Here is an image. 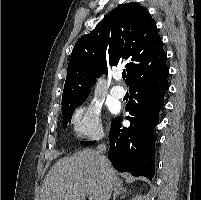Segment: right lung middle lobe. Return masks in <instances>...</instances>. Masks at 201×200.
<instances>
[{"label": "right lung middle lobe", "instance_id": "dd1d6c3e", "mask_svg": "<svg viewBox=\"0 0 201 200\" xmlns=\"http://www.w3.org/2000/svg\"><path fill=\"white\" fill-rule=\"evenodd\" d=\"M87 97L88 96L72 99V100H67V101H62L63 128H66L67 123L71 122V118H72L74 110L78 106H81L84 103V101L87 99Z\"/></svg>", "mask_w": 201, "mask_h": 200}]
</instances>
